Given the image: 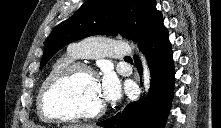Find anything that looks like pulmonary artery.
I'll return each instance as SVG.
<instances>
[{"label":"pulmonary artery","instance_id":"pulmonary-artery-1","mask_svg":"<svg viewBox=\"0 0 221 128\" xmlns=\"http://www.w3.org/2000/svg\"><path fill=\"white\" fill-rule=\"evenodd\" d=\"M69 50L76 57H95L108 54L112 57L128 60L131 52L126 43L121 40H105L96 37H86L72 43Z\"/></svg>","mask_w":221,"mask_h":128}]
</instances>
